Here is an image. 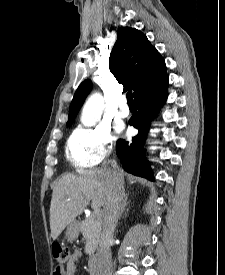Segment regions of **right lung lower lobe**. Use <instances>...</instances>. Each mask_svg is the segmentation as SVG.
Listing matches in <instances>:
<instances>
[{"label":"right lung lower lobe","mask_w":225,"mask_h":275,"mask_svg":"<svg viewBox=\"0 0 225 275\" xmlns=\"http://www.w3.org/2000/svg\"><path fill=\"white\" fill-rule=\"evenodd\" d=\"M167 87L168 76L166 75L134 99L138 111L131 117L129 124L137 128L139 133L130 142L122 139L117 141L116 153L123 168L136 176L153 179L150 166L143 155L142 146L151 119L167 99Z\"/></svg>","instance_id":"obj_1"}]
</instances>
